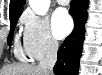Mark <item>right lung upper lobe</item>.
I'll list each match as a JSON object with an SVG mask.
<instances>
[{"label": "right lung upper lobe", "instance_id": "1", "mask_svg": "<svg viewBox=\"0 0 102 75\" xmlns=\"http://www.w3.org/2000/svg\"><path fill=\"white\" fill-rule=\"evenodd\" d=\"M25 0H10V17L21 15Z\"/></svg>", "mask_w": 102, "mask_h": 75}]
</instances>
